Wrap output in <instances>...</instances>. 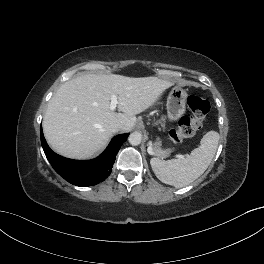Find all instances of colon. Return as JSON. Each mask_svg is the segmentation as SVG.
Masks as SVG:
<instances>
[{"mask_svg":"<svg viewBox=\"0 0 264 264\" xmlns=\"http://www.w3.org/2000/svg\"><path fill=\"white\" fill-rule=\"evenodd\" d=\"M187 104L191 114L181 117L177 129L170 131L169 137L172 145L194 136L210 110V103L197 95L189 96Z\"/></svg>","mask_w":264,"mask_h":264,"instance_id":"5ec220e1","label":"colon"}]
</instances>
